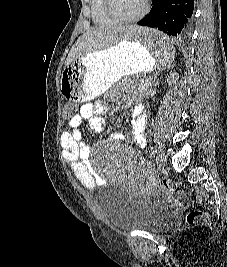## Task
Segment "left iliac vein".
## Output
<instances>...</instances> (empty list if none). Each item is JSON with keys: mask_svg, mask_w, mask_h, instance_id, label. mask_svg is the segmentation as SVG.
I'll use <instances>...</instances> for the list:
<instances>
[{"mask_svg": "<svg viewBox=\"0 0 227 267\" xmlns=\"http://www.w3.org/2000/svg\"><path fill=\"white\" fill-rule=\"evenodd\" d=\"M156 163L160 169H164L167 165L166 155L162 151H158L156 156Z\"/></svg>", "mask_w": 227, "mask_h": 267, "instance_id": "left-iliac-vein-1", "label": "left iliac vein"}]
</instances>
